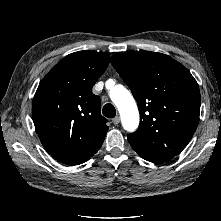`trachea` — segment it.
<instances>
[{
	"instance_id": "3493384b",
	"label": "trachea",
	"mask_w": 221,
	"mask_h": 221,
	"mask_svg": "<svg viewBox=\"0 0 221 221\" xmlns=\"http://www.w3.org/2000/svg\"><path fill=\"white\" fill-rule=\"evenodd\" d=\"M103 115L107 118H114L116 115V109L111 103H107L103 107Z\"/></svg>"
}]
</instances>
